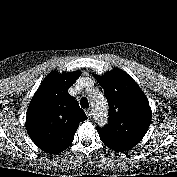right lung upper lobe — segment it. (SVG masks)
Here are the masks:
<instances>
[{
    "instance_id": "right-lung-upper-lobe-1",
    "label": "right lung upper lobe",
    "mask_w": 177,
    "mask_h": 177,
    "mask_svg": "<svg viewBox=\"0 0 177 177\" xmlns=\"http://www.w3.org/2000/svg\"><path fill=\"white\" fill-rule=\"evenodd\" d=\"M81 72L49 73L32 97L26 117V129L38 146L48 144L58 154L68 148L80 122L87 119L78 101L68 89Z\"/></svg>"
}]
</instances>
